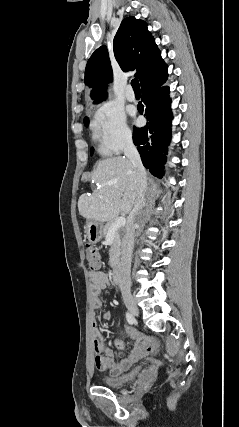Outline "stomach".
Instances as JSON below:
<instances>
[{
    "mask_svg": "<svg viewBox=\"0 0 239 427\" xmlns=\"http://www.w3.org/2000/svg\"><path fill=\"white\" fill-rule=\"evenodd\" d=\"M85 233L89 242L93 244L98 243L104 236L103 223L94 220H88L85 225Z\"/></svg>",
    "mask_w": 239,
    "mask_h": 427,
    "instance_id": "stomach-1",
    "label": "stomach"
}]
</instances>
